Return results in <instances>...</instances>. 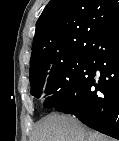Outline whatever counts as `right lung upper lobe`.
<instances>
[{
  "label": "right lung upper lobe",
  "instance_id": "1",
  "mask_svg": "<svg viewBox=\"0 0 119 141\" xmlns=\"http://www.w3.org/2000/svg\"><path fill=\"white\" fill-rule=\"evenodd\" d=\"M117 19L119 0H51L36 23L30 74L88 57Z\"/></svg>",
  "mask_w": 119,
  "mask_h": 141
}]
</instances>
